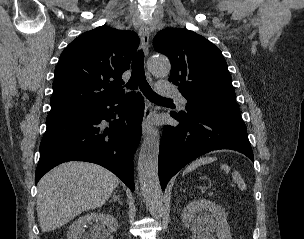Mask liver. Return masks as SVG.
<instances>
[{"instance_id": "6515ba94", "label": "liver", "mask_w": 304, "mask_h": 239, "mask_svg": "<svg viewBox=\"0 0 304 239\" xmlns=\"http://www.w3.org/2000/svg\"><path fill=\"white\" fill-rule=\"evenodd\" d=\"M119 184L107 169L88 162H66L38 183L37 215L42 232L55 230L85 210L102 206Z\"/></svg>"}]
</instances>
